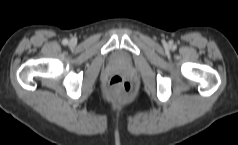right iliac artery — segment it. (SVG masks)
<instances>
[{
  "label": "right iliac artery",
  "instance_id": "obj_1",
  "mask_svg": "<svg viewBox=\"0 0 238 145\" xmlns=\"http://www.w3.org/2000/svg\"><path fill=\"white\" fill-rule=\"evenodd\" d=\"M62 43H63L64 45H66V44L68 43V40H67V39H64V40L62 41Z\"/></svg>",
  "mask_w": 238,
  "mask_h": 145
}]
</instances>
